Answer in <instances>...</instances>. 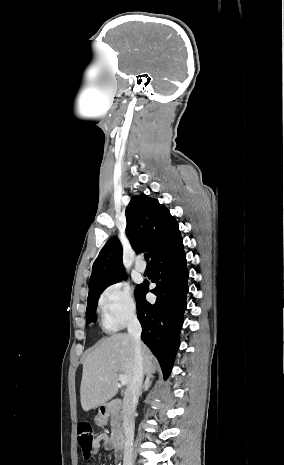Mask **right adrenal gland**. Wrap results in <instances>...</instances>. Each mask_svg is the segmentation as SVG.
Masks as SVG:
<instances>
[{"mask_svg": "<svg viewBox=\"0 0 284 465\" xmlns=\"http://www.w3.org/2000/svg\"><path fill=\"white\" fill-rule=\"evenodd\" d=\"M153 379H154L153 375H147L146 381H145V383H144V385L142 387V391L140 393V397H141L142 393H144V391H149V389H150V387H151V385L153 383Z\"/></svg>", "mask_w": 284, "mask_h": 465, "instance_id": "right-adrenal-gland-1", "label": "right adrenal gland"}]
</instances>
